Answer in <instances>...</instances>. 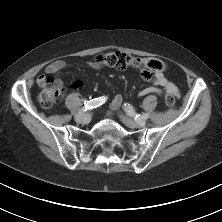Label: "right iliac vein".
<instances>
[{
  "instance_id": "right-iliac-vein-1",
  "label": "right iliac vein",
  "mask_w": 222,
  "mask_h": 222,
  "mask_svg": "<svg viewBox=\"0 0 222 222\" xmlns=\"http://www.w3.org/2000/svg\"><path fill=\"white\" fill-rule=\"evenodd\" d=\"M75 120L79 123H89L91 120V116L88 113H79L75 116Z\"/></svg>"
}]
</instances>
